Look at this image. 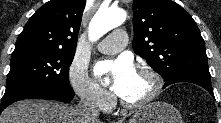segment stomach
I'll list each match as a JSON object with an SVG mask.
<instances>
[{
    "instance_id": "obj_1",
    "label": "stomach",
    "mask_w": 221,
    "mask_h": 123,
    "mask_svg": "<svg viewBox=\"0 0 221 123\" xmlns=\"http://www.w3.org/2000/svg\"><path fill=\"white\" fill-rule=\"evenodd\" d=\"M129 123H183V120L171 104L157 101L138 109Z\"/></svg>"
}]
</instances>
